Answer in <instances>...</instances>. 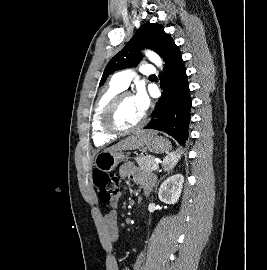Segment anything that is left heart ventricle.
Returning <instances> with one entry per match:
<instances>
[{"label":"left heart ventricle","mask_w":267,"mask_h":270,"mask_svg":"<svg viewBox=\"0 0 267 270\" xmlns=\"http://www.w3.org/2000/svg\"><path fill=\"white\" fill-rule=\"evenodd\" d=\"M143 114L137 107L133 97H127L117 109L115 122L120 128H130L141 120Z\"/></svg>","instance_id":"b2bd125f"}]
</instances>
